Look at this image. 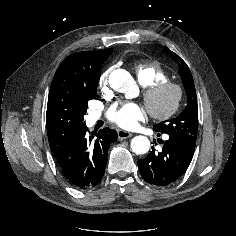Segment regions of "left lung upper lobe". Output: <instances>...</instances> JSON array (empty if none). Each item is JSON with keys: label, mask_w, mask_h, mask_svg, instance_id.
<instances>
[{"label": "left lung upper lobe", "mask_w": 236, "mask_h": 236, "mask_svg": "<svg viewBox=\"0 0 236 236\" xmlns=\"http://www.w3.org/2000/svg\"><path fill=\"white\" fill-rule=\"evenodd\" d=\"M165 49L170 57L180 65L179 71L187 94L188 104L177 117L165 120L153 128L157 132L166 133L171 137L195 146L198 130V106L193 77L187 64L167 47Z\"/></svg>", "instance_id": "obj_1"}]
</instances>
